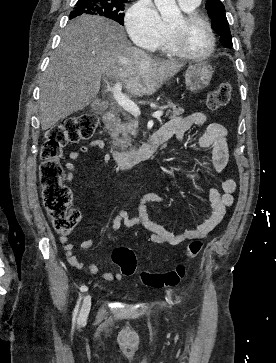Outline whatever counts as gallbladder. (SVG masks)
Instances as JSON below:
<instances>
[{"mask_svg": "<svg viewBox=\"0 0 276 363\" xmlns=\"http://www.w3.org/2000/svg\"><path fill=\"white\" fill-rule=\"evenodd\" d=\"M103 106V102L99 99H95L91 102L90 108L94 111L101 110Z\"/></svg>", "mask_w": 276, "mask_h": 363, "instance_id": "1", "label": "gallbladder"}]
</instances>
